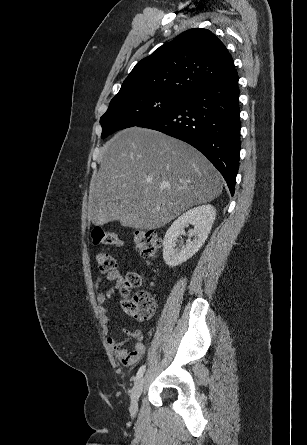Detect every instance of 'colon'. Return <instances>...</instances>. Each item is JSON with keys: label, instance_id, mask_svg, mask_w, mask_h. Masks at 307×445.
Masks as SVG:
<instances>
[{"label": "colon", "instance_id": "colon-1", "mask_svg": "<svg viewBox=\"0 0 307 445\" xmlns=\"http://www.w3.org/2000/svg\"><path fill=\"white\" fill-rule=\"evenodd\" d=\"M91 236L94 244H105L117 248L123 245V241L116 233L101 227H95ZM134 244L143 259L151 260L157 255L161 246V238L153 230L137 229L134 232ZM96 260L100 271L104 273L111 272L117 267L115 259L107 252H99ZM141 282L142 277L139 274L130 272L121 287V292L127 296L129 288L138 287ZM122 307L126 313L138 321L151 318L155 311L153 298L149 293L143 291L135 293L131 298H125Z\"/></svg>", "mask_w": 307, "mask_h": 445}]
</instances>
